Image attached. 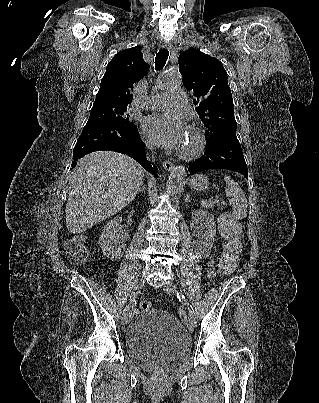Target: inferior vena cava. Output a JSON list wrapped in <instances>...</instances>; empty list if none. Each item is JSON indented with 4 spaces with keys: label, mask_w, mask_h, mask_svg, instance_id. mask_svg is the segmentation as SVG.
Here are the masks:
<instances>
[{
    "label": "inferior vena cava",
    "mask_w": 319,
    "mask_h": 403,
    "mask_svg": "<svg viewBox=\"0 0 319 403\" xmlns=\"http://www.w3.org/2000/svg\"><path fill=\"white\" fill-rule=\"evenodd\" d=\"M146 147H147L148 150H151V151L153 150V146H152L151 143H147Z\"/></svg>",
    "instance_id": "inferior-vena-cava-1"
}]
</instances>
